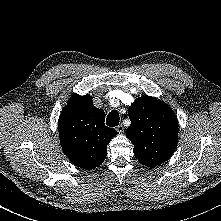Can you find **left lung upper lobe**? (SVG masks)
I'll list each match as a JSON object with an SVG mask.
<instances>
[{"mask_svg": "<svg viewBox=\"0 0 221 221\" xmlns=\"http://www.w3.org/2000/svg\"><path fill=\"white\" fill-rule=\"evenodd\" d=\"M131 125L127 137L134 155L145 166L154 168L167 161L178 141V120L172 109L157 98L144 96L130 106Z\"/></svg>", "mask_w": 221, "mask_h": 221, "instance_id": "left-lung-upper-lobe-1", "label": "left lung upper lobe"}]
</instances>
